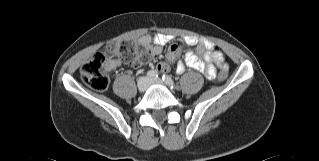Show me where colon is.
I'll return each instance as SVG.
<instances>
[{
  "label": "colon",
  "mask_w": 319,
  "mask_h": 161,
  "mask_svg": "<svg viewBox=\"0 0 319 161\" xmlns=\"http://www.w3.org/2000/svg\"><path fill=\"white\" fill-rule=\"evenodd\" d=\"M179 49L178 45L172 47ZM127 64L146 65L150 59L149 50L132 41H112L93 56L80 69V78L89 88L102 91L109 85V70L114 60ZM227 78L226 70H221L218 79Z\"/></svg>",
  "instance_id": "obj_1"
}]
</instances>
